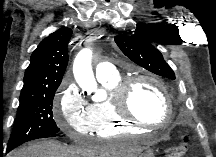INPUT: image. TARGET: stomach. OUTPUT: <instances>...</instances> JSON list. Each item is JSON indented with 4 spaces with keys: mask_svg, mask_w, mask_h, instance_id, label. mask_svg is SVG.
Segmentation results:
<instances>
[{
    "mask_svg": "<svg viewBox=\"0 0 216 157\" xmlns=\"http://www.w3.org/2000/svg\"><path fill=\"white\" fill-rule=\"evenodd\" d=\"M137 157H153V153L151 151H147L145 153L140 154Z\"/></svg>",
    "mask_w": 216,
    "mask_h": 157,
    "instance_id": "0dacf381",
    "label": "stomach"
}]
</instances>
